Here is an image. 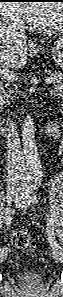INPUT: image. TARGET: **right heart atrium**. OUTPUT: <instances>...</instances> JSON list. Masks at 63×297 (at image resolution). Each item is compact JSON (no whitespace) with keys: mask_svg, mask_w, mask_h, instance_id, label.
<instances>
[{"mask_svg":"<svg viewBox=\"0 0 63 297\" xmlns=\"http://www.w3.org/2000/svg\"><path fill=\"white\" fill-rule=\"evenodd\" d=\"M3 14L7 19L12 21H20L22 18L21 11L11 6L3 8Z\"/></svg>","mask_w":63,"mask_h":297,"instance_id":"d8ad5b80","label":"right heart atrium"}]
</instances>
